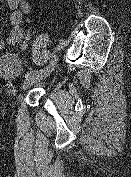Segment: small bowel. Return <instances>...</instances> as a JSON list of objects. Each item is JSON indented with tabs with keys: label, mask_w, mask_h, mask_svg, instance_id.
Listing matches in <instances>:
<instances>
[{
	"label": "small bowel",
	"mask_w": 131,
	"mask_h": 177,
	"mask_svg": "<svg viewBox=\"0 0 131 177\" xmlns=\"http://www.w3.org/2000/svg\"><path fill=\"white\" fill-rule=\"evenodd\" d=\"M7 5L10 9L9 18V36L6 39H0V51L6 47H11L19 44L24 49L27 46L29 39V29L24 30L23 22L28 21L30 6L27 0H7Z\"/></svg>",
	"instance_id": "small-bowel-1"
}]
</instances>
